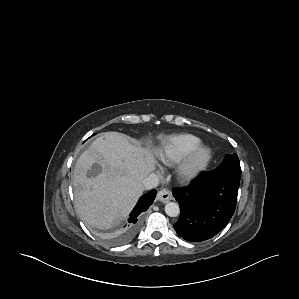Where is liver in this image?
<instances>
[{"mask_svg":"<svg viewBox=\"0 0 299 299\" xmlns=\"http://www.w3.org/2000/svg\"><path fill=\"white\" fill-rule=\"evenodd\" d=\"M94 164L100 172L88 177ZM154 169L150 149L131 144L122 133H103L80 155L72 174L75 207L82 220L98 229L121 222L142 195L143 179Z\"/></svg>","mask_w":299,"mask_h":299,"instance_id":"liver-1","label":"liver"}]
</instances>
